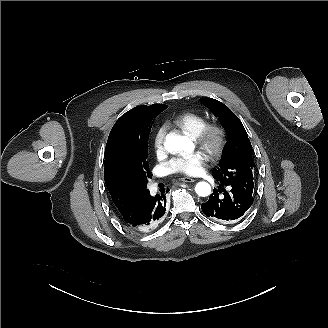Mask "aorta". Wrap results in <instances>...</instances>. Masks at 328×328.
<instances>
[{"instance_id":"1","label":"aorta","mask_w":328,"mask_h":328,"mask_svg":"<svg viewBox=\"0 0 328 328\" xmlns=\"http://www.w3.org/2000/svg\"><path fill=\"white\" fill-rule=\"evenodd\" d=\"M165 148L170 153L191 152L194 149V144L186 136L168 135L165 140ZM197 195L206 197L211 193V186L207 182H198L195 186Z\"/></svg>"}]
</instances>
